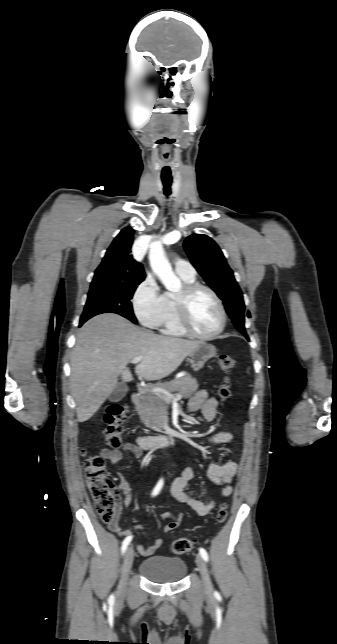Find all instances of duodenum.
Instances as JSON below:
<instances>
[{
	"mask_svg": "<svg viewBox=\"0 0 337 644\" xmlns=\"http://www.w3.org/2000/svg\"><path fill=\"white\" fill-rule=\"evenodd\" d=\"M141 400V395L139 392H134L132 394V402L134 404H139ZM138 445L142 449H151L158 447H167L176 444L177 437L173 433H163L159 435L151 436H141L137 440Z\"/></svg>",
	"mask_w": 337,
	"mask_h": 644,
	"instance_id": "410a0bca",
	"label": "duodenum"
}]
</instances>
